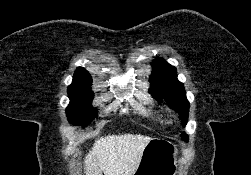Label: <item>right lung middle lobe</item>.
Returning a JSON list of instances; mask_svg holds the SVG:
<instances>
[{
    "label": "right lung middle lobe",
    "mask_w": 251,
    "mask_h": 175,
    "mask_svg": "<svg viewBox=\"0 0 251 175\" xmlns=\"http://www.w3.org/2000/svg\"><path fill=\"white\" fill-rule=\"evenodd\" d=\"M70 104L66 109L68 121L72 124L88 125L97 117V109L91 106L94 93L90 88L68 87Z\"/></svg>",
    "instance_id": "right-lung-middle-lobe-1"
}]
</instances>
